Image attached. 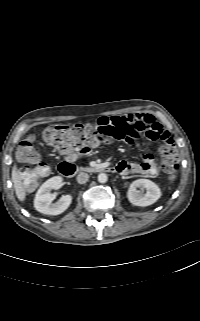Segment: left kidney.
<instances>
[{"label": "left kidney", "mask_w": 200, "mask_h": 321, "mask_svg": "<svg viewBox=\"0 0 200 321\" xmlns=\"http://www.w3.org/2000/svg\"><path fill=\"white\" fill-rule=\"evenodd\" d=\"M137 188L146 189V193L142 194ZM127 197L131 204L145 207L154 204L161 197V190L151 180L138 179L131 183Z\"/></svg>", "instance_id": "5707ae66"}]
</instances>
